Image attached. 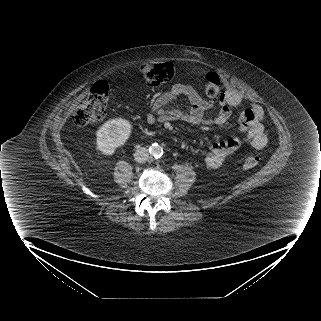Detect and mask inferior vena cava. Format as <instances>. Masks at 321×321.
<instances>
[{
  "label": "inferior vena cava",
  "instance_id": "inferior-vena-cava-1",
  "mask_svg": "<svg viewBox=\"0 0 321 321\" xmlns=\"http://www.w3.org/2000/svg\"><path fill=\"white\" fill-rule=\"evenodd\" d=\"M149 157V152L146 148H139L134 153V159L139 163H145Z\"/></svg>",
  "mask_w": 321,
  "mask_h": 321
}]
</instances>
